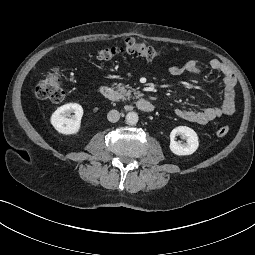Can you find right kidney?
<instances>
[{
    "instance_id": "obj_1",
    "label": "right kidney",
    "mask_w": 255,
    "mask_h": 255,
    "mask_svg": "<svg viewBox=\"0 0 255 255\" xmlns=\"http://www.w3.org/2000/svg\"><path fill=\"white\" fill-rule=\"evenodd\" d=\"M75 113L72 118H68L71 113ZM83 116V108L77 103H68L59 108L52 114L50 122L53 127L61 134L71 135L78 133Z\"/></svg>"
}]
</instances>
